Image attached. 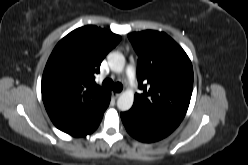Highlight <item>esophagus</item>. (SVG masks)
I'll list each match as a JSON object with an SVG mask.
<instances>
[{"label":"esophagus","mask_w":248,"mask_h":165,"mask_svg":"<svg viewBox=\"0 0 248 165\" xmlns=\"http://www.w3.org/2000/svg\"><path fill=\"white\" fill-rule=\"evenodd\" d=\"M121 95V92H115L113 93L114 98H118Z\"/></svg>","instance_id":"esophagus-1"}]
</instances>
